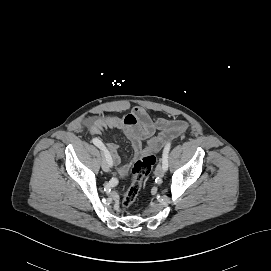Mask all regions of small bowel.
Returning a JSON list of instances; mask_svg holds the SVG:
<instances>
[{"label": "small bowel", "instance_id": "1", "mask_svg": "<svg viewBox=\"0 0 271 271\" xmlns=\"http://www.w3.org/2000/svg\"><path fill=\"white\" fill-rule=\"evenodd\" d=\"M85 124L92 135H98L105 130H118L130 141L134 150L135 159L160 148L166 140L184 132L187 123L182 120H169L166 118L152 119L142 107H134L125 116L103 115L89 117ZM156 131H159L155 135ZM147 142V147L143 142ZM107 148L111 153L116 170L121 177L128 174L130 164L123 163L118 154L119 147L108 143Z\"/></svg>", "mask_w": 271, "mask_h": 271}]
</instances>
